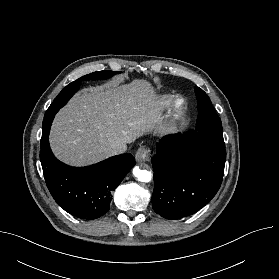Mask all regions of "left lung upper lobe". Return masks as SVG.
Instances as JSON below:
<instances>
[{"mask_svg": "<svg viewBox=\"0 0 279 279\" xmlns=\"http://www.w3.org/2000/svg\"><path fill=\"white\" fill-rule=\"evenodd\" d=\"M195 93L199 111L195 131L202 133L219 144L225 145L222 123L212 106L210 98L201 88L197 87Z\"/></svg>", "mask_w": 279, "mask_h": 279, "instance_id": "1", "label": "left lung upper lobe"}]
</instances>
